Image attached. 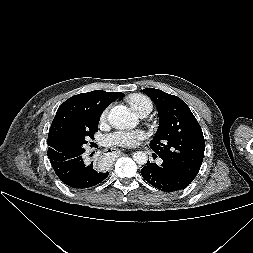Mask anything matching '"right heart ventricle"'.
Segmentation results:
<instances>
[{
  "instance_id": "obj_1",
  "label": "right heart ventricle",
  "mask_w": 253,
  "mask_h": 253,
  "mask_svg": "<svg viewBox=\"0 0 253 253\" xmlns=\"http://www.w3.org/2000/svg\"><path fill=\"white\" fill-rule=\"evenodd\" d=\"M127 102L130 107L139 114L152 110L151 100L143 94H131L127 97Z\"/></svg>"
}]
</instances>
